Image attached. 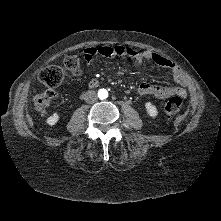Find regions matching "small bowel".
Instances as JSON below:
<instances>
[{"label": "small bowel", "instance_id": "1", "mask_svg": "<svg viewBox=\"0 0 221 221\" xmlns=\"http://www.w3.org/2000/svg\"><path fill=\"white\" fill-rule=\"evenodd\" d=\"M84 59L90 63L94 57L103 56L107 58L125 57L133 61L135 67L141 66L145 61H151L172 73L175 86H161L149 83H141L138 87L140 95H152L159 99H166L172 96L186 97V79L178 66L168 58L151 51H138L128 46H101L87 47L83 50Z\"/></svg>", "mask_w": 221, "mask_h": 221}]
</instances>
